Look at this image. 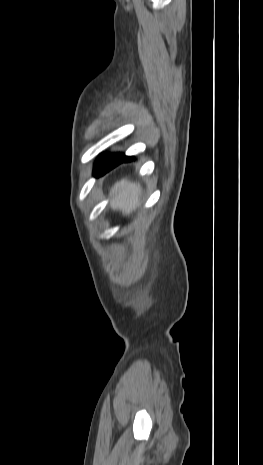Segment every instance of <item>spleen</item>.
<instances>
[{
    "instance_id": "3e777b00",
    "label": "spleen",
    "mask_w": 263,
    "mask_h": 465,
    "mask_svg": "<svg viewBox=\"0 0 263 465\" xmlns=\"http://www.w3.org/2000/svg\"><path fill=\"white\" fill-rule=\"evenodd\" d=\"M112 191L116 193L112 202L114 209H119L124 214H129L138 205L139 185L129 183L123 179L114 185Z\"/></svg>"
}]
</instances>
